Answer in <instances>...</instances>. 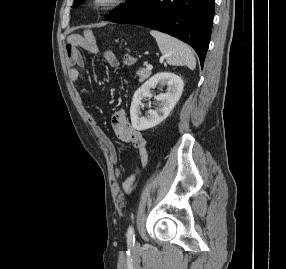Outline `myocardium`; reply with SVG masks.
I'll list each match as a JSON object with an SVG mask.
<instances>
[{
  "mask_svg": "<svg viewBox=\"0 0 286 269\" xmlns=\"http://www.w3.org/2000/svg\"><path fill=\"white\" fill-rule=\"evenodd\" d=\"M126 0H89V5L96 10L114 9L123 5Z\"/></svg>",
  "mask_w": 286,
  "mask_h": 269,
  "instance_id": "obj_1",
  "label": "myocardium"
}]
</instances>
